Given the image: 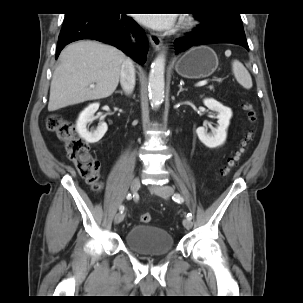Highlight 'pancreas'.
<instances>
[{
    "mask_svg": "<svg viewBox=\"0 0 303 303\" xmlns=\"http://www.w3.org/2000/svg\"><path fill=\"white\" fill-rule=\"evenodd\" d=\"M209 89H210V90H214V86H212V85L209 86Z\"/></svg>",
    "mask_w": 303,
    "mask_h": 303,
    "instance_id": "cf45deb5",
    "label": "pancreas"
}]
</instances>
